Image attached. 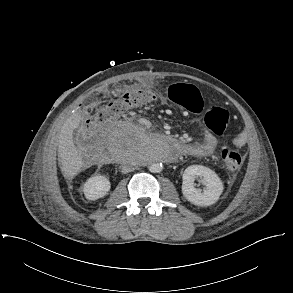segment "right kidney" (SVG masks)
Here are the masks:
<instances>
[{
    "instance_id": "1",
    "label": "right kidney",
    "mask_w": 293,
    "mask_h": 293,
    "mask_svg": "<svg viewBox=\"0 0 293 293\" xmlns=\"http://www.w3.org/2000/svg\"><path fill=\"white\" fill-rule=\"evenodd\" d=\"M111 188L108 178L102 175L90 177L83 186L85 197L90 201H95L104 197Z\"/></svg>"
}]
</instances>
